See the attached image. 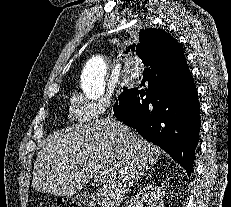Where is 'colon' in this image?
I'll return each instance as SVG.
<instances>
[{"mask_svg":"<svg viewBox=\"0 0 231 207\" xmlns=\"http://www.w3.org/2000/svg\"><path fill=\"white\" fill-rule=\"evenodd\" d=\"M55 207H81V205L69 198H60L57 200Z\"/></svg>","mask_w":231,"mask_h":207,"instance_id":"1","label":"colon"}]
</instances>
